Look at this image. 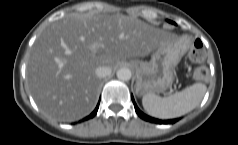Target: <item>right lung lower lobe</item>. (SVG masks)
<instances>
[{
  "instance_id": "1",
  "label": "right lung lower lobe",
  "mask_w": 238,
  "mask_h": 145,
  "mask_svg": "<svg viewBox=\"0 0 238 145\" xmlns=\"http://www.w3.org/2000/svg\"><path fill=\"white\" fill-rule=\"evenodd\" d=\"M98 107H99V103H98L97 107L95 108V110H94L89 116H87L86 118H84L82 121L88 120V119H90V118H93V117L96 115L97 111H98Z\"/></svg>"
}]
</instances>
